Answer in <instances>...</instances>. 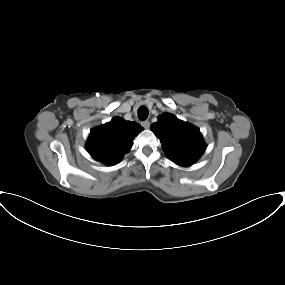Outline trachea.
Listing matches in <instances>:
<instances>
[{
    "mask_svg": "<svg viewBox=\"0 0 285 285\" xmlns=\"http://www.w3.org/2000/svg\"><path fill=\"white\" fill-rule=\"evenodd\" d=\"M148 114H149V112H148V109L146 106H141L138 108V116H139L140 120H142V121L146 120L148 117Z\"/></svg>",
    "mask_w": 285,
    "mask_h": 285,
    "instance_id": "1",
    "label": "trachea"
}]
</instances>
